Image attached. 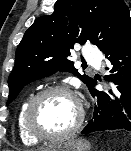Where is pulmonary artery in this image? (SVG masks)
Returning <instances> with one entry per match:
<instances>
[{
	"mask_svg": "<svg viewBox=\"0 0 131 151\" xmlns=\"http://www.w3.org/2000/svg\"><path fill=\"white\" fill-rule=\"evenodd\" d=\"M83 56L85 60L90 63L92 66L98 68L100 65V54L92 46L86 45L83 49Z\"/></svg>",
	"mask_w": 131,
	"mask_h": 151,
	"instance_id": "e3ab8cb5",
	"label": "pulmonary artery"
}]
</instances>
